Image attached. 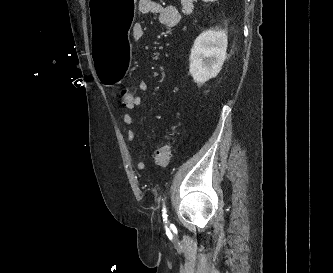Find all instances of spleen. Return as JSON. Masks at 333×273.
<instances>
[{
  "label": "spleen",
  "mask_w": 333,
  "mask_h": 273,
  "mask_svg": "<svg viewBox=\"0 0 333 273\" xmlns=\"http://www.w3.org/2000/svg\"><path fill=\"white\" fill-rule=\"evenodd\" d=\"M204 2H213V1H216V0H203Z\"/></svg>",
  "instance_id": "1"
}]
</instances>
